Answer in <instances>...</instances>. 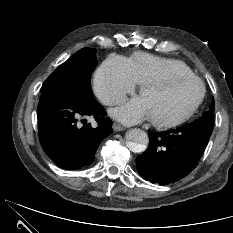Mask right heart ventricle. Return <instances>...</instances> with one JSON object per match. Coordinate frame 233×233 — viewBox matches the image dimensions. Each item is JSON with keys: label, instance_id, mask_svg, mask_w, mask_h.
<instances>
[{"label": "right heart ventricle", "instance_id": "obj_1", "mask_svg": "<svg viewBox=\"0 0 233 233\" xmlns=\"http://www.w3.org/2000/svg\"><path fill=\"white\" fill-rule=\"evenodd\" d=\"M129 73L136 85H141L161 75L175 76L192 73L189 66L175 59L138 52L125 58Z\"/></svg>", "mask_w": 233, "mask_h": 233}]
</instances>
